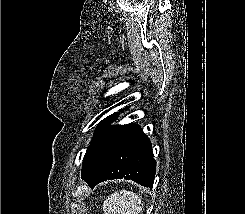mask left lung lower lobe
I'll use <instances>...</instances> for the list:
<instances>
[{
    "label": "left lung lower lobe",
    "mask_w": 245,
    "mask_h": 214,
    "mask_svg": "<svg viewBox=\"0 0 245 214\" xmlns=\"http://www.w3.org/2000/svg\"><path fill=\"white\" fill-rule=\"evenodd\" d=\"M152 145L139 125L106 128L87 148L81 178L93 188L110 179H128L145 187L154 183Z\"/></svg>",
    "instance_id": "0a47b994"
}]
</instances>
